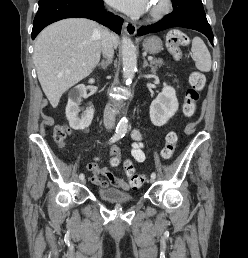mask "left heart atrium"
Wrapping results in <instances>:
<instances>
[{
    "instance_id": "left-heart-atrium-1",
    "label": "left heart atrium",
    "mask_w": 248,
    "mask_h": 258,
    "mask_svg": "<svg viewBox=\"0 0 248 258\" xmlns=\"http://www.w3.org/2000/svg\"><path fill=\"white\" fill-rule=\"evenodd\" d=\"M107 2L132 16L145 13L150 6V0H107Z\"/></svg>"
}]
</instances>
